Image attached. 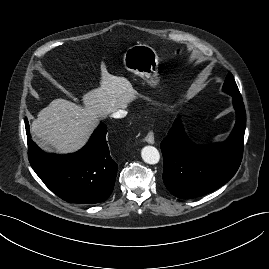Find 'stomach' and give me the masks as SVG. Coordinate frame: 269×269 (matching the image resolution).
Returning <instances> with one entry per match:
<instances>
[{"mask_svg": "<svg viewBox=\"0 0 269 269\" xmlns=\"http://www.w3.org/2000/svg\"><path fill=\"white\" fill-rule=\"evenodd\" d=\"M123 62L127 70L152 84L158 82L159 57L153 47L146 44L131 46L125 51Z\"/></svg>", "mask_w": 269, "mask_h": 269, "instance_id": "0dacf381", "label": "stomach"}]
</instances>
